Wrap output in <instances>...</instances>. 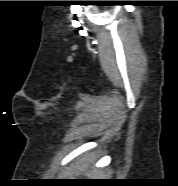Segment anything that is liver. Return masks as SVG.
<instances>
[{
  "instance_id": "liver-1",
  "label": "liver",
  "mask_w": 178,
  "mask_h": 186,
  "mask_svg": "<svg viewBox=\"0 0 178 186\" xmlns=\"http://www.w3.org/2000/svg\"><path fill=\"white\" fill-rule=\"evenodd\" d=\"M93 162H94L93 160H89L88 158L81 159L80 160L81 166L79 167V171H83L87 169ZM88 175H94L95 177H102L103 174L101 171L94 170Z\"/></svg>"
}]
</instances>
